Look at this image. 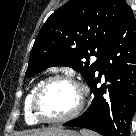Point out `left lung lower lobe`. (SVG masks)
<instances>
[{
  "label": "left lung lower lobe",
  "instance_id": "1",
  "mask_svg": "<svg viewBox=\"0 0 136 136\" xmlns=\"http://www.w3.org/2000/svg\"><path fill=\"white\" fill-rule=\"evenodd\" d=\"M102 74L107 83L97 87ZM88 84L94 94L90 107L63 126L82 127L103 136H130L129 126L136 108V20L131 8Z\"/></svg>",
  "mask_w": 136,
  "mask_h": 136
}]
</instances>
